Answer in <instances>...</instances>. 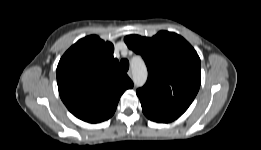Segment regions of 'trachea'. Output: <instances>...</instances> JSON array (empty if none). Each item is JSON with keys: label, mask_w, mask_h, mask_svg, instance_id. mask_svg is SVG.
Wrapping results in <instances>:
<instances>
[{"label": "trachea", "mask_w": 261, "mask_h": 150, "mask_svg": "<svg viewBox=\"0 0 261 150\" xmlns=\"http://www.w3.org/2000/svg\"><path fill=\"white\" fill-rule=\"evenodd\" d=\"M120 66L124 71H128L129 69V61L127 59H122L120 61Z\"/></svg>", "instance_id": "trachea-1"}]
</instances>
